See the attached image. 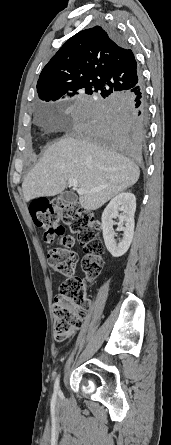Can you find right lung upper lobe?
Instances as JSON below:
<instances>
[{
    "instance_id": "obj_1",
    "label": "right lung upper lobe",
    "mask_w": 171,
    "mask_h": 445,
    "mask_svg": "<svg viewBox=\"0 0 171 445\" xmlns=\"http://www.w3.org/2000/svg\"><path fill=\"white\" fill-rule=\"evenodd\" d=\"M141 83L133 52L118 43L105 27L95 26L72 36L43 68L39 98L56 101L85 92L104 95L128 93Z\"/></svg>"
}]
</instances>
